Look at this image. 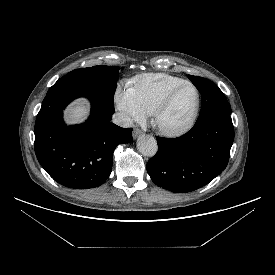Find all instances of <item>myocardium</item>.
<instances>
[{
  "label": "myocardium",
  "instance_id": "f54148a6",
  "mask_svg": "<svg viewBox=\"0 0 275 275\" xmlns=\"http://www.w3.org/2000/svg\"><path fill=\"white\" fill-rule=\"evenodd\" d=\"M190 86L196 95L195 106L192 111L191 116L189 119L179 127L176 128H164L159 123V118L161 114L165 111V109L169 106L174 94L182 87ZM201 107V96L198 88L190 81H183L171 89H169L166 94L162 97V99L157 103L154 107L153 111L151 112V122L152 125L163 135L165 136H178L185 132H187L192 126L195 124Z\"/></svg>",
  "mask_w": 275,
  "mask_h": 275
}]
</instances>
